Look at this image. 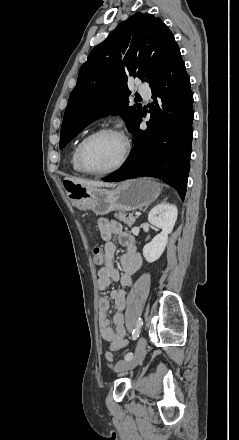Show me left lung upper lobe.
<instances>
[{
	"label": "left lung upper lobe",
	"instance_id": "5c2ea615",
	"mask_svg": "<svg viewBox=\"0 0 239 440\" xmlns=\"http://www.w3.org/2000/svg\"><path fill=\"white\" fill-rule=\"evenodd\" d=\"M176 44L169 28L152 14L135 13L121 22L81 66L64 114L60 148L93 120L116 111L131 130L142 110L127 107L128 78L153 81Z\"/></svg>",
	"mask_w": 239,
	"mask_h": 440
}]
</instances>
